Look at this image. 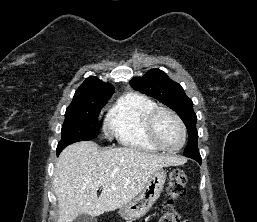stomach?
I'll return each mask as SVG.
<instances>
[{
	"instance_id": "0dacf381",
	"label": "stomach",
	"mask_w": 257,
	"mask_h": 222,
	"mask_svg": "<svg viewBox=\"0 0 257 222\" xmlns=\"http://www.w3.org/2000/svg\"><path fill=\"white\" fill-rule=\"evenodd\" d=\"M166 176V171L162 169L153 173L143 191L131 202L119 209V215L126 220L139 219L144 216L160 197Z\"/></svg>"
}]
</instances>
